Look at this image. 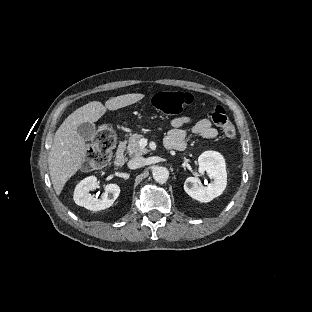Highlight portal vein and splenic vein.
<instances>
[{
    "mask_svg": "<svg viewBox=\"0 0 312 312\" xmlns=\"http://www.w3.org/2000/svg\"><path fill=\"white\" fill-rule=\"evenodd\" d=\"M146 145H147V140H146V139H141V140L139 141V146H140L141 148L146 147Z\"/></svg>",
    "mask_w": 312,
    "mask_h": 312,
    "instance_id": "18ae733b",
    "label": "portal vein and splenic vein"
}]
</instances>
